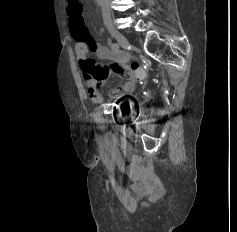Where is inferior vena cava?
I'll list each match as a JSON object with an SVG mask.
<instances>
[{
  "label": "inferior vena cava",
  "instance_id": "inferior-vena-cava-1",
  "mask_svg": "<svg viewBox=\"0 0 237 232\" xmlns=\"http://www.w3.org/2000/svg\"><path fill=\"white\" fill-rule=\"evenodd\" d=\"M101 5L102 17L104 22L111 20L110 2L111 0H97Z\"/></svg>",
  "mask_w": 237,
  "mask_h": 232
}]
</instances>
